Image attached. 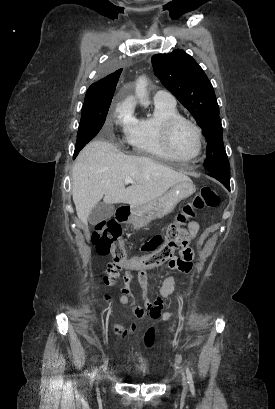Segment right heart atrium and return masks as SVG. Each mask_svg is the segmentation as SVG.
Wrapping results in <instances>:
<instances>
[{"mask_svg": "<svg viewBox=\"0 0 275 409\" xmlns=\"http://www.w3.org/2000/svg\"><path fill=\"white\" fill-rule=\"evenodd\" d=\"M114 122L121 127L125 135H129L136 122L133 115V104L131 102L123 103L116 108L114 112Z\"/></svg>", "mask_w": 275, "mask_h": 409, "instance_id": "1", "label": "right heart atrium"}]
</instances>
